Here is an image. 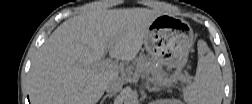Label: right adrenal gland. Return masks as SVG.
<instances>
[{
  "instance_id": "obj_1",
  "label": "right adrenal gland",
  "mask_w": 252,
  "mask_h": 104,
  "mask_svg": "<svg viewBox=\"0 0 252 104\" xmlns=\"http://www.w3.org/2000/svg\"><path fill=\"white\" fill-rule=\"evenodd\" d=\"M113 96H114V94H106V95L102 98V100L100 101V104H103L104 101L106 100V98H112Z\"/></svg>"
}]
</instances>
